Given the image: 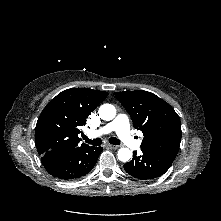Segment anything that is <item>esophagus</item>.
<instances>
[{"label":"esophagus","mask_w":221,"mask_h":221,"mask_svg":"<svg viewBox=\"0 0 221 221\" xmlns=\"http://www.w3.org/2000/svg\"><path fill=\"white\" fill-rule=\"evenodd\" d=\"M107 147L110 148V149H118L119 148V146L112 145V144H107Z\"/></svg>","instance_id":"esophagus-1"}]
</instances>
